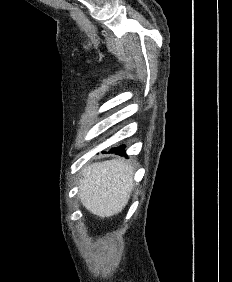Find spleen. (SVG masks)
<instances>
[{"label":"spleen","mask_w":232,"mask_h":282,"mask_svg":"<svg viewBox=\"0 0 232 282\" xmlns=\"http://www.w3.org/2000/svg\"><path fill=\"white\" fill-rule=\"evenodd\" d=\"M132 176L131 164L121 160L87 166L79 197L93 214L110 217L126 206L132 189Z\"/></svg>","instance_id":"3e777b00"}]
</instances>
